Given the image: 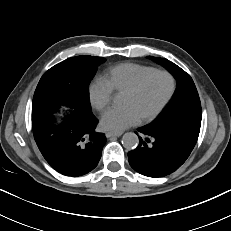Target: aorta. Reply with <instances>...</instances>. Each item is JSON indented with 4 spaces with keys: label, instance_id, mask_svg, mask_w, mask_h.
<instances>
[{
    "label": "aorta",
    "instance_id": "aorta-1",
    "mask_svg": "<svg viewBox=\"0 0 231 231\" xmlns=\"http://www.w3.org/2000/svg\"><path fill=\"white\" fill-rule=\"evenodd\" d=\"M139 138L133 132L125 133L122 137V144L126 149H135L138 146Z\"/></svg>",
    "mask_w": 231,
    "mask_h": 231
}]
</instances>
